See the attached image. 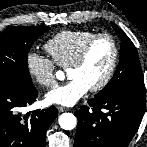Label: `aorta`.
<instances>
[{"instance_id":"762f6f07","label":"aorta","mask_w":147,"mask_h":147,"mask_svg":"<svg viewBox=\"0 0 147 147\" xmlns=\"http://www.w3.org/2000/svg\"><path fill=\"white\" fill-rule=\"evenodd\" d=\"M58 79H61L62 73L57 72ZM59 125L64 130H72L76 127L77 119L72 113H63L58 119Z\"/></svg>"}]
</instances>
